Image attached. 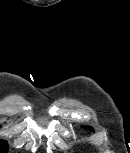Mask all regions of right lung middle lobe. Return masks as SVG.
<instances>
[{
	"instance_id": "1",
	"label": "right lung middle lobe",
	"mask_w": 130,
	"mask_h": 153,
	"mask_svg": "<svg viewBox=\"0 0 130 153\" xmlns=\"http://www.w3.org/2000/svg\"><path fill=\"white\" fill-rule=\"evenodd\" d=\"M8 151V144L4 140H0V153H7Z\"/></svg>"
}]
</instances>
